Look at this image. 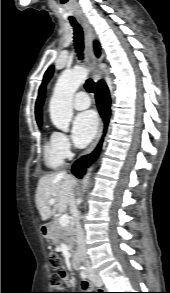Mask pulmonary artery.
Returning <instances> with one entry per match:
<instances>
[{
  "instance_id": "e3ab8cb5",
  "label": "pulmonary artery",
  "mask_w": 170,
  "mask_h": 293,
  "mask_svg": "<svg viewBox=\"0 0 170 293\" xmlns=\"http://www.w3.org/2000/svg\"><path fill=\"white\" fill-rule=\"evenodd\" d=\"M91 105L90 99L86 92L80 91L76 93L73 99V107L77 110H84Z\"/></svg>"
}]
</instances>
